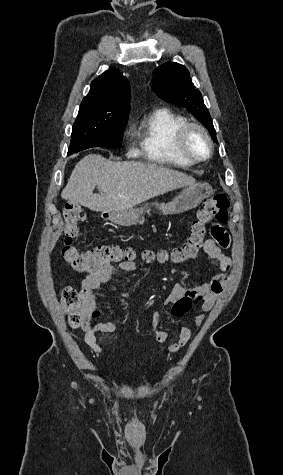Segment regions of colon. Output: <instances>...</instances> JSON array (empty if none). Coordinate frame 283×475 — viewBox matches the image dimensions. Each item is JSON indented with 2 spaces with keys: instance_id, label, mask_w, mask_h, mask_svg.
I'll list each match as a JSON object with an SVG mask.
<instances>
[{
  "instance_id": "obj_1",
  "label": "colon",
  "mask_w": 283,
  "mask_h": 475,
  "mask_svg": "<svg viewBox=\"0 0 283 475\" xmlns=\"http://www.w3.org/2000/svg\"><path fill=\"white\" fill-rule=\"evenodd\" d=\"M228 198L220 193L209 198L201 207L198 219L195 220L186 237V240L168 252L155 254L146 252L145 257L152 259L158 257L174 262L195 259L204 247L207 229L211 221L224 224L228 221ZM65 244L61 255L71 267L80 274H89L107 264L126 263L130 268L133 266L134 253L131 249H125L113 245H97L85 252H81L74 245V240L80 235V224L85 220L86 214L81 206L74 202H67L63 210ZM229 249V248H228ZM61 303L67 312V322L71 327H79L81 319L77 313L78 306L85 304L83 297H78L75 288L65 287L61 292ZM192 299L183 297L177 305L171 307L173 314H187L191 308Z\"/></svg>"
}]
</instances>
